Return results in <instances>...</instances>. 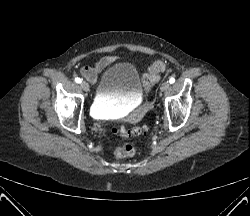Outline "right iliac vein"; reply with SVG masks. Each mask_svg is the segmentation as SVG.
I'll return each mask as SVG.
<instances>
[{"label": "right iliac vein", "mask_w": 250, "mask_h": 216, "mask_svg": "<svg viewBox=\"0 0 250 216\" xmlns=\"http://www.w3.org/2000/svg\"><path fill=\"white\" fill-rule=\"evenodd\" d=\"M80 85H81V87H82V89H83L84 91H89V85H88L87 82L83 81V82H81Z\"/></svg>", "instance_id": "63e3f726"}]
</instances>
